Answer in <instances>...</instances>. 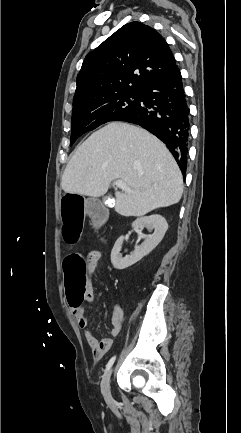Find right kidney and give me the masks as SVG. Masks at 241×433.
Instances as JSON below:
<instances>
[{"label": "right kidney", "instance_id": "right-kidney-1", "mask_svg": "<svg viewBox=\"0 0 241 433\" xmlns=\"http://www.w3.org/2000/svg\"><path fill=\"white\" fill-rule=\"evenodd\" d=\"M144 227L150 230L154 229V233L146 237L144 242L140 246H136L135 250L126 257H122L120 254L125 237L121 236L117 239L111 251V262L115 269H126L149 254L163 239L168 229V223L161 215L154 214L137 218L132 224V228L137 231H142Z\"/></svg>", "mask_w": 241, "mask_h": 433}]
</instances>
